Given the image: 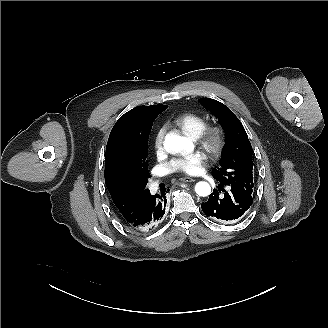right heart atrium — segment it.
<instances>
[{
	"label": "right heart atrium",
	"instance_id": "1",
	"mask_svg": "<svg viewBox=\"0 0 328 328\" xmlns=\"http://www.w3.org/2000/svg\"><path fill=\"white\" fill-rule=\"evenodd\" d=\"M166 134V126L159 125L157 126L152 133L150 148L152 152L159 156L164 152V138Z\"/></svg>",
	"mask_w": 328,
	"mask_h": 328
}]
</instances>
